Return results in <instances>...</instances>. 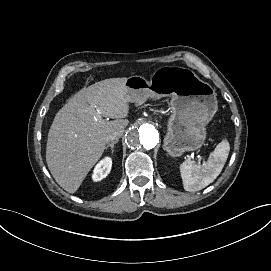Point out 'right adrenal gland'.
Here are the masks:
<instances>
[{"label": "right adrenal gland", "instance_id": "obj_1", "mask_svg": "<svg viewBox=\"0 0 271 271\" xmlns=\"http://www.w3.org/2000/svg\"><path fill=\"white\" fill-rule=\"evenodd\" d=\"M116 142H117V141H112L110 144H108L107 147H106V150H108L109 148L114 149V144H115Z\"/></svg>", "mask_w": 271, "mask_h": 271}]
</instances>
